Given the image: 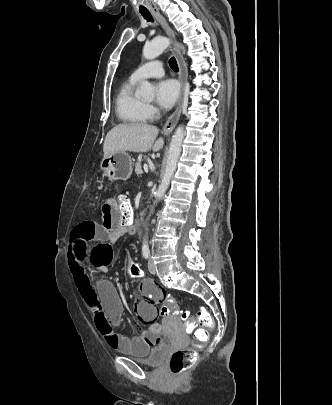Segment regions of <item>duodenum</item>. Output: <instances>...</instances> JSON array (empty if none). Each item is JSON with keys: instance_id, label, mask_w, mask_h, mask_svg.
<instances>
[{"instance_id": "1", "label": "duodenum", "mask_w": 332, "mask_h": 405, "mask_svg": "<svg viewBox=\"0 0 332 405\" xmlns=\"http://www.w3.org/2000/svg\"><path fill=\"white\" fill-rule=\"evenodd\" d=\"M126 227L128 233H135L139 227V222L135 219L130 220L126 223Z\"/></svg>"}]
</instances>
